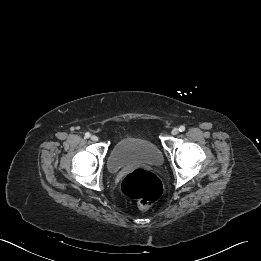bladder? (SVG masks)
I'll list each match as a JSON object with an SVG mask.
<instances>
[{
  "label": "bladder",
  "instance_id": "bladder-1",
  "mask_svg": "<svg viewBox=\"0 0 261 261\" xmlns=\"http://www.w3.org/2000/svg\"><path fill=\"white\" fill-rule=\"evenodd\" d=\"M162 163V153L153 142L134 137L121 138L112 147L107 158V166L111 172L128 165L158 167Z\"/></svg>",
  "mask_w": 261,
  "mask_h": 261
}]
</instances>
